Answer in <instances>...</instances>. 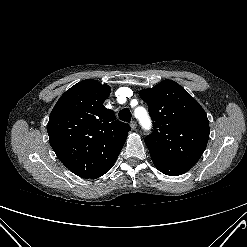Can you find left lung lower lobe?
Segmentation results:
<instances>
[{
	"mask_svg": "<svg viewBox=\"0 0 247 247\" xmlns=\"http://www.w3.org/2000/svg\"><path fill=\"white\" fill-rule=\"evenodd\" d=\"M152 161L156 168L162 173L169 176H177L187 172L192 166L179 164L168 161L156 155H151Z\"/></svg>",
	"mask_w": 247,
	"mask_h": 247,
	"instance_id": "0a47b994",
	"label": "left lung lower lobe"
}]
</instances>
